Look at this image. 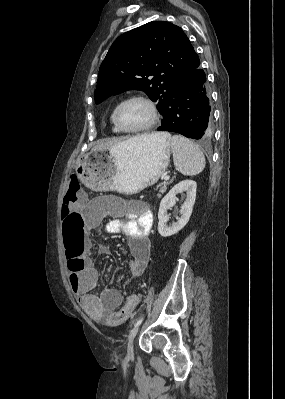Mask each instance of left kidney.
Instances as JSON below:
<instances>
[{"instance_id":"5707ae66","label":"left kidney","mask_w":285,"mask_h":399,"mask_svg":"<svg viewBox=\"0 0 285 399\" xmlns=\"http://www.w3.org/2000/svg\"><path fill=\"white\" fill-rule=\"evenodd\" d=\"M196 188L197 184L192 180H184L176 184L169 193L161 200L160 207L158 211V232L162 237L172 236L178 233L189 221L190 216L192 214V209L195 203L196 198ZM186 192L187 197L185 202L183 203L180 213L181 217L178 218L176 223H173L172 226H167V222L169 220V215L167 213L168 209H170L176 203V195Z\"/></svg>"}]
</instances>
